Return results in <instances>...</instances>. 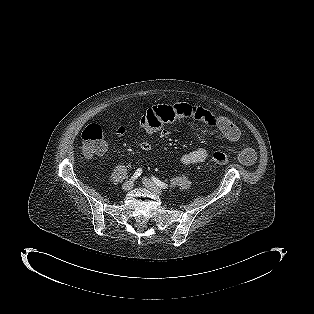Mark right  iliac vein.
I'll return each mask as SVG.
<instances>
[{"label":"right iliac vein","mask_w":314,"mask_h":314,"mask_svg":"<svg viewBox=\"0 0 314 314\" xmlns=\"http://www.w3.org/2000/svg\"><path fill=\"white\" fill-rule=\"evenodd\" d=\"M133 187V180H128L122 185L123 191H129Z\"/></svg>","instance_id":"obj_1"}]
</instances>
